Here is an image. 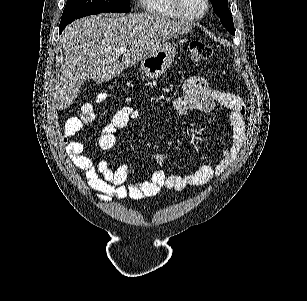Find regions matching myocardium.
<instances>
[{"mask_svg": "<svg viewBox=\"0 0 307 301\" xmlns=\"http://www.w3.org/2000/svg\"><path fill=\"white\" fill-rule=\"evenodd\" d=\"M172 2L171 6L176 14V17H180L181 22H200L201 17H204L206 14L207 4L206 0H201L199 8L193 10H181L182 3L184 0H175Z\"/></svg>", "mask_w": 307, "mask_h": 301, "instance_id": "myocardium-1", "label": "myocardium"}]
</instances>
